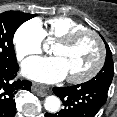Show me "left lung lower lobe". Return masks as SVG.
I'll return each instance as SVG.
<instances>
[{"label": "left lung lower lobe", "mask_w": 117, "mask_h": 117, "mask_svg": "<svg viewBox=\"0 0 117 117\" xmlns=\"http://www.w3.org/2000/svg\"><path fill=\"white\" fill-rule=\"evenodd\" d=\"M53 92L62 100L64 108L45 117H94L107 100L108 90L88 82L70 86L54 87Z\"/></svg>", "instance_id": "left-lung-lower-lobe-1"}]
</instances>
